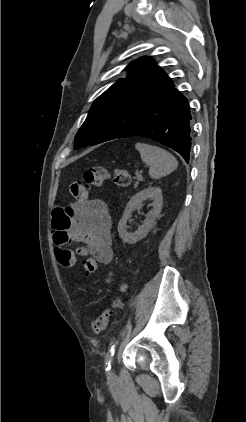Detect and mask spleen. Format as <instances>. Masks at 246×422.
I'll return each instance as SVG.
<instances>
[{
  "label": "spleen",
  "mask_w": 246,
  "mask_h": 422,
  "mask_svg": "<svg viewBox=\"0 0 246 422\" xmlns=\"http://www.w3.org/2000/svg\"><path fill=\"white\" fill-rule=\"evenodd\" d=\"M135 148L141 160L149 165V175L153 179L170 174L178 166L176 158L165 149L144 143H136Z\"/></svg>",
  "instance_id": "spleen-1"
}]
</instances>
